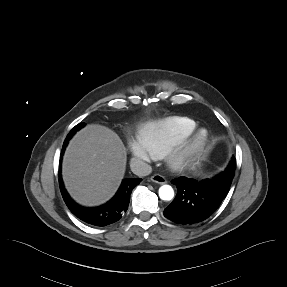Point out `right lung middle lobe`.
<instances>
[{
  "mask_svg": "<svg viewBox=\"0 0 287 287\" xmlns=\"http://www.w3.org/2000/svg\"><path fill=\"white\" fill-rule=\"evenodd\" d=\"M82 126H84L83 123L76 125L70 132H75L77 131L79 128H81Z\"/></svg>",
  "mask_w": 287,
  "mask_h": 287,
  "instance_id": "obj_1",
  "label": "right lung middle lobe"
}]
</instances>
